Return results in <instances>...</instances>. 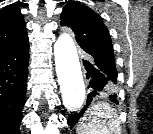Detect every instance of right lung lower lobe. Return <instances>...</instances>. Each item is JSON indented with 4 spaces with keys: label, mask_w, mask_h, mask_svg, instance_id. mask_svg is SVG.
Listing matches in <instances>:
<instances>
[{
    "label": "right lung lower lobe",
    "mask_w": 153,
    "mask_h": 134,
    "mask_svg": "<svg viewBox=\"0 0 153 134\" xmlns=\"http://www.w3.org/2000/svg\"><path fill=\"white\" fill-rule=\"evenodd\" d=\"M28 62L29 42L0 55V134H20Z\"/></svg>",
    "instance_id": "98d812e1"
}]
</instances>
